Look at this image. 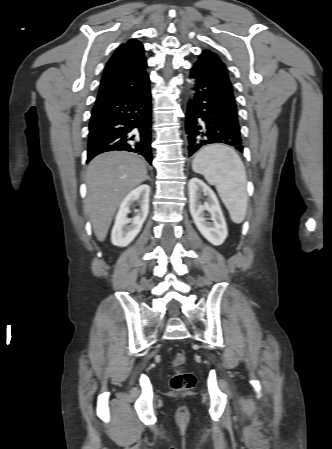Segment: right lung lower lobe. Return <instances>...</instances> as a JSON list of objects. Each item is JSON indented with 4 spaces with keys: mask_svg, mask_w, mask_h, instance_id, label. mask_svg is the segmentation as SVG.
Here are the masks:
<instances>
[{
    "mask_svg": "<svg viewBox=\"0 0 332 449\" xmlns=\"http://www.w3.org/2000/svg\"><path fill=\"white\" fill-rule=\"evenodd\" d=\"M128 151L151 164V93L96 103L90 118L88 158L107 151Z\"/></svg>",
    "mask_w": 332,
    "mask_h": 449,
    "instance_id": "1",
    "label": "right lung lower lobe"
}]
</instances>
